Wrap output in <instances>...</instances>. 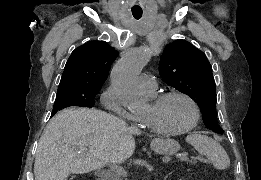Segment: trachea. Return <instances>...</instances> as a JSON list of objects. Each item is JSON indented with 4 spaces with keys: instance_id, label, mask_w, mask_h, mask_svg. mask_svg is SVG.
<instances>
[{
    "instance_id": "3493384b",
    "label": "trachea",
    "mask_w": 261,
    "mask_h": 180,
    "mask_svg": "<svg viewBox=\"0 0 261 180\" xmlns=\"http://www.w3.org/2000/svg\"><path fill=\"white\" fill-rule=\"evenodd\" d=\"M132 15L136 20H139L142 17V10L141 9H132Z\"/></svg>"
}]
</instances>
